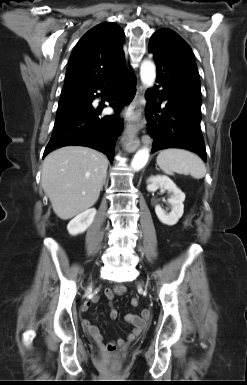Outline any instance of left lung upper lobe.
Wrapping results in <instances>:
<instances>
[{
    "label": "left lung upper lobe",
    "instance_id": "left-lung-upper-lobe-1",
    "mask_svg": "<svg viewBox=\"0 0 247 385\" xmlns=\"http://www.w3.org/2000/svg\"><path fill=\"white\" fill-rule=\"evenodd\" d=\"M151 39L158 40L165 51L200 83L193 52L178 34L169 29H161L156 31Z\"/></svg>",
    "mask_w": 247,
    "mask_h": 385
}]
</instances>
